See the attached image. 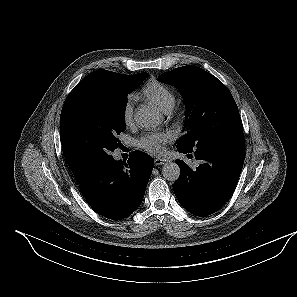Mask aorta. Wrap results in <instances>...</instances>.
Listing matches in <instances>:
<instances>
[{"instance_id": "762f6f07", "label": "aorta", "mask_w": 297, "mask_h": 297, "mask_svg": "<svg viewBox=\"0 0 297 297\" xmlns=\"http://www.w3.org/2000/svg\"><path fill=\"white\" fill-rule=\"evenodd\" d=\"M135 121L144 128L157 126L161 119L157 111L150 106H143L136 112ZM163 177L168 181H176L180 176V168L175 162H167L162 168Z\"/></svg>"}]
</instances>
